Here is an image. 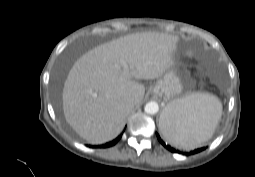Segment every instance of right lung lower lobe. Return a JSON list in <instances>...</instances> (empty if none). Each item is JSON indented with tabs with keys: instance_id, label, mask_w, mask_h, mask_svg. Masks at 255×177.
Listing matches in <instances>:
<instances>
[{
	"instance_id": "right-lung-lower-lobe-1",
	"label": "right lung lower lobe",
	"mask_w": 255,
	"mask_h": 177,
	"mask_svg": "<svg viewBox=\"0 0 255 177\" xmlns=\"http://www.w3.org/2000/svg\"><path fill=\"white\" fill-rule=\"evenodd\" d=\"M121 137H122V134H120V135H119L116 139H114L113 141L108 142V143H106V144H104V145H100V146H98V147H102V148L111 147V146L115 145V144L120 140Z\"/></svg>"
}]
</instances>
